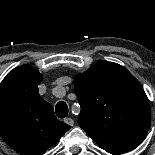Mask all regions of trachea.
<instances>
[{"label": "trachea", "instance_id": "trachea-1", "mask_svg": "<svg viewBox=\"0 0 155 155\" xmlns=\"http://www.w3.org/2000/svg\"><path fill=\"white\" fill-rule=\"evenodd\" d=\"M56 115L59 118H65L68 115V106L65 102L60 101L56 104Z\"/></svg>", "mask_w": 155, "mask_h": 155}]
</instances>
